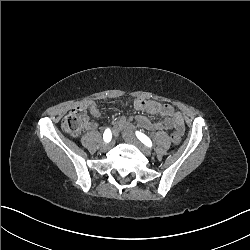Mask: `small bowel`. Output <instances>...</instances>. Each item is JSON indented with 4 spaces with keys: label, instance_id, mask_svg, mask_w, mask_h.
Here are the masks:
<instances>
[{
    "label": "small bowel",
    "instance_id": "obj_1",
    "mask_svg": "<svg viewBox=\"0 0 250 250\" xmlns=\"http://www.w3.org/2000/svg\"><path fill=\"white\" fill-rule=\"evenodd\" d=\"M134 109L138 111H146L152 115L163 116L164 119L160 121H152L146 116H138L136 118L137 124L150 131H164V130H173L178 131L182 135L184 132V121L183 117L174 107L169 104H162L160 102L149 100L145 101L143 99H135L133 101ZM82 108L89 111L94 116L100 115V110L98 105L94 101H88L83 104ZM132 117H121L118 123V126L131 130ZM88 129H95L96 123L90 122L87 124Z\"/></svg>",
    "mask_w": 250,
    "mask_h": 250
}]
</instances>
